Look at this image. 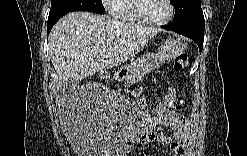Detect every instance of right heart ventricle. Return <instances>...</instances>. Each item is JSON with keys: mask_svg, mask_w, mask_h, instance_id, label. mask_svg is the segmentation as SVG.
<instances>
[{"mask_svg": "<svg viewBox=\"0 0 247 156\" xmlns=\"http://www.w3.org/2000/svg\"><path fill=\"white\" fill-rule=\"evenodd\" d=\"M132 2L130 0L119 1L115 7L114 15L124 21H137L132 13Z\"/></svg>", "mask_w": 247, "mask_h": 156, "instance_id": "right-heart-ventricle-1", "label": "right heart ventricle"}]
</instances>
